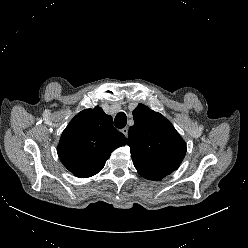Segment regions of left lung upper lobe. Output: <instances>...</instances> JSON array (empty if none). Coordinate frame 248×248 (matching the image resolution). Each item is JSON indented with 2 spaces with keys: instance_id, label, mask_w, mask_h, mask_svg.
<instances>
[{
  "instance_id": "5c2ea615",
  "label": "left lung upper lobe",
  "mask_w": 248,
  "mask_h": 248,
  "mask_svg": "<svg viewBox=\"0 0 248 248\" xmlns=\"http://www.w3.org/2000/svg\"><path fill=\"white\" fill-rule=\"evenodd\" d=\"M128 146L135 168L149 180L159 181L176 170L186 154V143L160 113L139 104L133 111Z\"/></svg>"
}]
</instances>
